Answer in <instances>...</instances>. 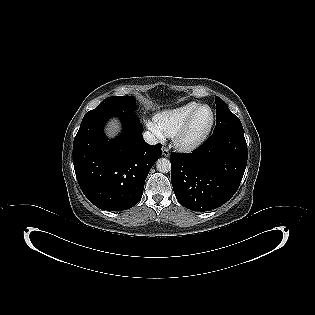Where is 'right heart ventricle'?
<instances>
[{"label":"right heart ventricle","mask_w":315,"mask_h":315,"mask_svg":"<svg viewBox=\"0 0 315 315\" xmlns=\"http://www.w3.org/2000/svg\"><path fill=\"white\" fill-rule=\"evenodd\" d=\"M199 105V102L191 101L164 110L155 116V122L164 135L172 137L192 111Z\"/></svg>","instance_id":"e07e8e85"}]
</instances>
